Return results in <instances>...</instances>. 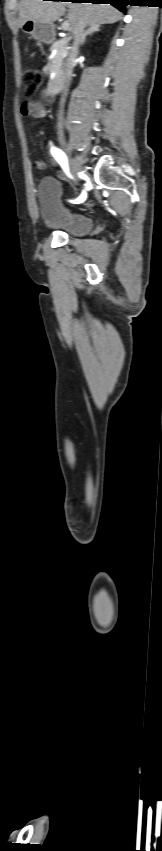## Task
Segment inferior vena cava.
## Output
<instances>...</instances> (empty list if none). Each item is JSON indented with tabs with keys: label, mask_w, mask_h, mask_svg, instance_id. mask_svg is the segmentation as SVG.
Returning <instances> with one entry per match:
<instances>
[{
	"label": "inferior vena cava",
	"mask_w": 162,
	"mask_h": 851,
	"mask_svg": "<svg viewBox=\"0 0 162 851\" xmlns=\"http://www.w3.org/2000/svg\"><path fill=\"white\" fill-rule=\"evenodd\" d=\"M84 29H85V24H84L83 21H80L72 31L73 35H74L73 47H72V50L70 52V56H69L68 63L66 65V69H65V73H64V83H63V87H62V91H61L62 95H61V99H60V103H59V110H58V114H57V117H58L57 127H58L59 130L63 129V114H64L65 98H66V94H67V90H68V84H69V81H70L71 75H72V67H73V64L75 62V59H76V56H77V53H78L79 45L81 44L83 35L85 33Z\"/></svg>",
	"instance_id": "1"
}]
</instances>
